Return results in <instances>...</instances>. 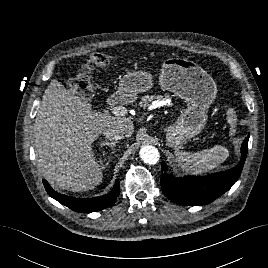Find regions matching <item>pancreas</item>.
<instances>
[{
    "mask_svg": "<svg viewBox=\"0 0 268 268\" xmlns=\"http://www.w3.org/2000/svg\"><path fill=\"white\" fill-rule=\"evenodd\" d=\"M169 96H161V95H146L141 98V101L139 102L140 107L146 108L151 102L154 100L163 101L167 100Z\"/></svg>",
    "mask_w": 268,
    "mask_h": 268,
    "instance_id": "pancreas-1",
    "label": "pancreas"
}]
</instances>
